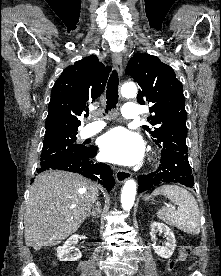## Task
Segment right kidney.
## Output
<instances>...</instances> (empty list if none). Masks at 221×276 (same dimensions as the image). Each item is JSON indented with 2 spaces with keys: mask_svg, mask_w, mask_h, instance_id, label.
Instances as JSON below:
<instances>
[{
  "mask_svg": "<svg viewBox=\"0 0 221 276\" xmlns=\"http://www.w3.org/2000/svg\"><path fill=\"white\" fill-rule=\"evenodd\" d=\"M79 235H72L62 246L57 248V257L60 261H76L82 256L81 252L70 254L71 246L77 244Z\"/></svg>",
  "mask_w": 221,
  "mask_h": 276,
  "instance_id": "ca27d5eb",
  "label": "right kidney"
}]
</instances>
